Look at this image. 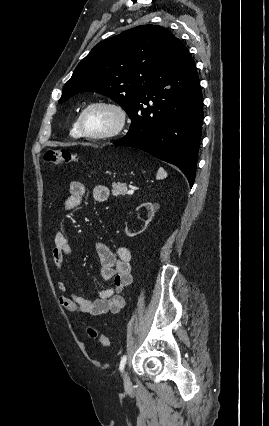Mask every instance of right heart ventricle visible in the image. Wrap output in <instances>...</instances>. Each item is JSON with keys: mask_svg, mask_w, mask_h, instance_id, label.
Here are the masks:
<instances>
[{"mask_svg": "<svg viewBox=\"0 0 269 426\" xmlns=\"http://www.w3.org/2000/svg\"><path fill=\"white\" fill-rule=\"evenodd\" d=\"M70 134L75 138L81 137V134H80V131H79V128H78L77 120L72 124Z\"/></svg>", "mask_w": 269, "mask_h": 426, "instance_id": "e07e8e85", "label": "right heart ventricle"}]
</instances>
